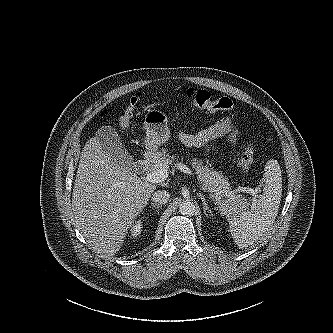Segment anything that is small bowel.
<instances>
[{"instance_id":"obj_1","label":"small bowel","mask_w":333,"mask_h":333,"mask_svg":"<svg viewBox=\"0 0 333 333\" xmlns=\"http://www.w3.org/2000/svg\"><path fill=\"white\" fill-rule=\"evenodd\" d=\"M241 131L232 118L224 117L215 124L202 129L196 133H188L180 131L177 134V139L187 147H195L200 149H211V142L224 135L229 136L232 144H236Z\"/></svg>"}]
</instances>
